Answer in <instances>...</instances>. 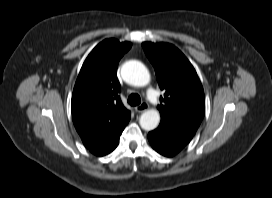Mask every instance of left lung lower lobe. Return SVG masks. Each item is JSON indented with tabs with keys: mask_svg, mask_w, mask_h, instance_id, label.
<instances>
[{
	"mask_svg": "<svg viewBox=\"0 0 272 198\" xmlns=\"http://www.w3.org/2000/svg\"><path fill=\"white\" fill-rule=\"evenodd\" d=\"M195 133L194 130L161 119L159 127L149 132L148 139L158 153L172 157L190 142Z\"/></svg>",
	"mask_w": 272,
	"mask_h": 198,
	"instance_id": "1",
	"label": "left lung lower lobe"
}]
</instances>
